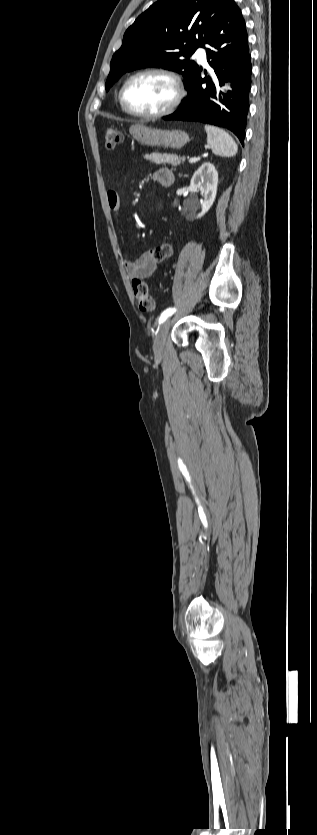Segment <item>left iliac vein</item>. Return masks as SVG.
<instances>
[{"label": "left iliac vein", "mask_w": 317, "mask_h": 835, "mask_svg": "<svg viewBox=\"0 0 317 835\" xmlns=\"http://www.w3.org/2000/svg\"><path fill=\"white\" fill-rule=\"evenodd\" d=\"M170 326H171V321L170 320L165 321L160 326V329H159V331L156 335V338H155L154 344H153V350H154V353H155L156 356H160L163 353L165 343H166V338H167Z\"/></svg>", "instance_id": "4c4485c4"}]
</instances>
